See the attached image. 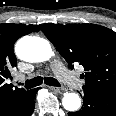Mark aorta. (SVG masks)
I'll return each mask as SVG.
<instances>
[{
  "instance_id": "1",
  "label": "aorta",
  "mask_w": 116,
  "mask_h": 116,
  "mask_svg": "<svg viewBox=\"0 0 116 116\" xmlns=\"http://www.w3.org/2000/svg\"><path fill=\"white\" fill-rule=\"evenodd\" d=\"M17 56L27 62H44L53 55L52 47L48 40L37 36H24L15 45ZM62 105L67 111H77L81 106V99L76 93H66Z\"/></svg>"
}]
</instances>
